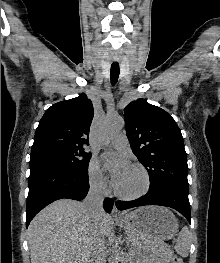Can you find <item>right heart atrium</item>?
Listing matches in <instances>:
<instances>
[{
	"mask_svg": "<svg viewBox=\"0 0 220 263\" xmlns=\"http://www.w3.org/2000/svg\"><path fill=\"white\" fill-rule=\"evenodd\" d=\"M87 179L90 187L95 191H104L108 181L96 158H91L87 167Z\"/></svg>",
	"mask_w": 220,
	"mask_h": 263,
	"instance_id": "1",
	"label": "right heart atrium"
}]
</instances>
